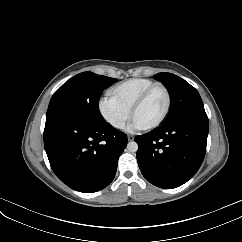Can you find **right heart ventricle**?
I'll return each instance as SVG.
<instances>
[{
	"label": "right heart ventricle",
	"instance_id": "right-heart-ventricle-1",
	"mask_svg": "<svg viewBox=\"0 0 242 242\" xmlns=\"http://www.w3.org/2000/svg\"><path fill=\"white\" fill-rule=\"evenodd\" d=\"M154 82L144 78L128 79L110 89L109 94L116 102L130 111L132 104Z\"/></svg>",
	"mask_w": 242,
	"mask_h": 242
}]
</instances>
